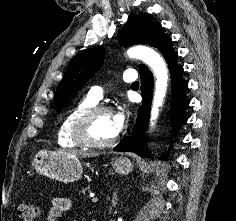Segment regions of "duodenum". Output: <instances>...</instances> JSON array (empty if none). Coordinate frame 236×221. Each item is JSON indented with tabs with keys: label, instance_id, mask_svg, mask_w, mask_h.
Segmentation results:
<instances>
[{
	"label": "duodenum",
	"instance_id": "1",
	"mask_svg": "<svg viewBox=\"0 0 236 221\" xmlns=\"http://www.w3.org/2000/svg\"><path fill=\"white\" fill-rule=\"evenodd\" d=\"M91 221H97L96 219H92Z\"/></svg>",
	"mask_w": 236,
	"mask_h": 221
}]
</instances>
